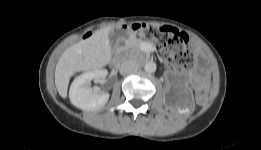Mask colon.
Wrapping results in <instances>:
<instances>
[{
  "label": "colon",
  "mask_w": 261,
  "mask_h": 150,
  "mask_svg": "<svg viewBox=\"0 0 261 150\" xmlns=\"http://www.w3.org/2000/svg\"><path fill=\"white\" fill-rule=\"evenodd\" d=\"M131 29L139 37L154 40L173 68L186 70L190 67L192 60L187 50L188 36L183 31L170 26L146 23L133 24Z\"/></svg>",
  "instance_id": "obj_1"
}]
</instances>
